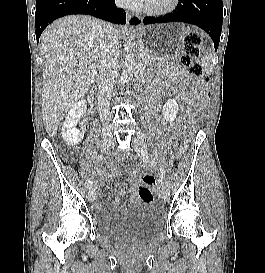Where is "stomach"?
<instances>
[{
  "label": "stomach",
  "mask_w": 265,
  "mask_h": 273,
  "mask_svg": "<svg viewBox=\"0 0 265 273\" xmlns=\"http://www.w3.org/2000/svg\"><path fill=\"white\" fill-rule=\"evenodd\" d=\"M189 30H195V25H157L137 31L139 44L135 49H144L141 60L145 64H170L177 56L178 45Z\"/></svg>",
  "instance_id": "stomach-1"
}]
</instances>
